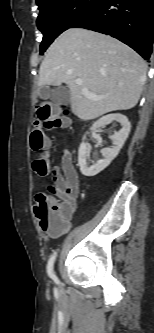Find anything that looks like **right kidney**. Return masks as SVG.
I'll return each mask as SVG.
<instances>
[{
	"mask_svg": "<svg viewBox=\"0 0 154 333\" xmlns=\"http://www.w3.org/2000/svg\"><path fill=\"white\" fill-rule=\"evenodd\" d=\"M112 121L119 122L122 125V128L110 136V139L113 141V146L101 150L103 159L97 161H91L89 159L90 146L84 142L86 139V135H84L83 142L80 144L78 151V164L83 175L95 176L108 167L109 164L117 157L126 139L128 138L131 129L130 122L125 115L119 113L103 116L93 124L90 130L97 131V129Z\"/></svg>",
	"mask_w": 154,
	"mask_h": 333,
	"instance_id": "obj_1",
	"label": "right kidney"
}]
</instances>
